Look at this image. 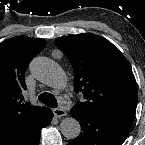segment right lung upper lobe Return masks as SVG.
Instances as JSON below:
<instances>
[{"instance_id":"right-lung-upper-lobe-1","label":"right lung upper lobe","mask_w":145,"mask_h":145,"mask_svg":"<svg viewBox=\"0 0 145 145\" xmlns=\"http://www.w3.org/2000/svg\"><path fill=\"white\" fill-rule=\"evenodd\" d=\"M45 40L13 37L0 43V136L41 114L46 107L22 103L25 70Z\"/></svg>"}]
</instances>
